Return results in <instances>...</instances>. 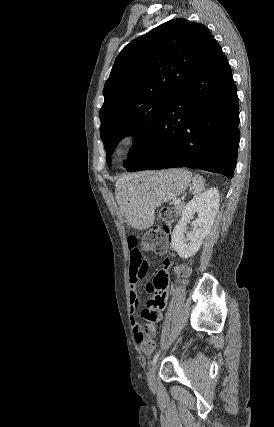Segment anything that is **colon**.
<instances>
[{
  "label": "colon",
  "instance_id": "obj_1",
  "mask_svg": "<svg viewBox=\"0 0 274 427\" xmlns=\"http://www.w3.org/2000/svg\"><path fill=\"white\" fill-rule=\"evenodd\" d=\"M175 218V210L173 207H164L160 210V219L163 222V227L159 225L152 226L149 231L144 234L142 237L141 246V255H146L145 252L154 251V248H167L168 247V232L169 225ZM176 275L179 279L184 278L186 269L183 267L176 268ZM159 345L158 337H149L148 341H144L143 345L140 346L141 354H152L153 350L156 349V346ZM138 364H149L150 356L149 355H138L137 356Z\"/></svg>",
  "mask_w": 274,
  "mask_h": 427
}]
</instances>
